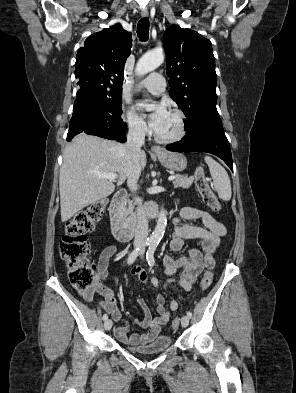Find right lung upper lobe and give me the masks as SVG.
Returning <instances> with one entry per match:
<instances>
[{
    "label": "right lung upper lobe",
    "instance_id": "right-lung-upper-lobe-1",
    "mask_svg": "<svg viewBox=\"0 0 296 393\" xmlns=\"http://www.w3.org/2000/svg\"><path fill=\"white\" fill-rule=\"evenodd\" d=\"M132 34L120 24L89 36L78 50L75 77L95 78L122 89L123 71L132 47Z\"/></svg>",
    "mask_w": 296,
    "mask_h": 393
}]
</instances>
